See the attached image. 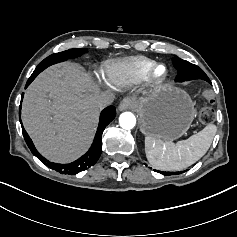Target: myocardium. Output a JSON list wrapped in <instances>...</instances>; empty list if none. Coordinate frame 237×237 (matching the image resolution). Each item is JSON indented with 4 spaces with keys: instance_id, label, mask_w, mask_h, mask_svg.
I'll use <instances>...</instances> for the list:
<instances>
[{
    "instance_id": "1",
    "label": "myocardium",
    "mask_w": 237,
    "mask_h": 237,
    "mask_svg": "<svg viewBox=\"0 0 237 237\" xmlns=\"http://www.w3.org/2000/svg\"><path fill=\"white\" fill-rule=\"evenodd\" d=\"M159 68H163V73L162 74H157V70ZM147 79L156 84H161L163 83L167 77H168V68L165 64L163 63H154L152 66L149 68V70L146 73Z\"/></svg>"
}]
</instances>
